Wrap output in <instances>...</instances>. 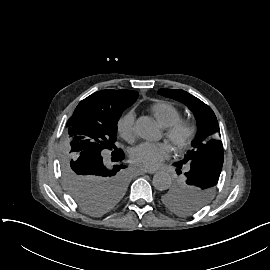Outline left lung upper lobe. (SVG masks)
<instances>
[{
  "mask_svg": "<svg viewBox=\"0 0 270 270\" xmlns=\"http://www.w3.org/2000/svg\"><path fill=\"white\" fill-rule=\"evenodd\" d=\"M164 97L175 99L189 107L197 120V133L192 149L175 163L177 174L185 173L161 192V202L181 216H192L203 209L213 196L218 182L224 153L219 140V125L212 109L198 98L180 89H159Z\"/></svg>",
  "mask_w": 270,
  "mask_h": 270,
  "instance_id": "5c2ea615",
  "label": "left lung upper lobe"
}]
</instances>
